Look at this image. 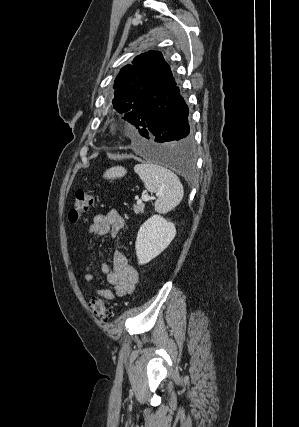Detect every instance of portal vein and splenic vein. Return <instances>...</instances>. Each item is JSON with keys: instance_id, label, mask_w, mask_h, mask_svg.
<instances>
[{"instance_id": "18ae733b", "label": "portal vein and splenic vein", "mask_w": 299, "mask_h": 427, "mask_svg": "<svg viewBox=\"0 0 299 427\" xmlns=\"http://www.w3.org/2000/svg\"><path fill=\"white\" fill-rule=\"evenodd\" d=\"M147 198H149V199H150V197H149V196H147V195L142 197V199H143V200H146Z\"/></svg>"}]
</instances>
